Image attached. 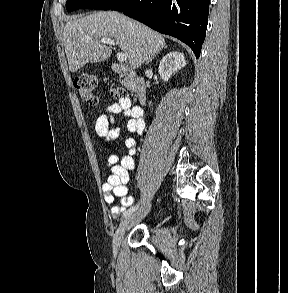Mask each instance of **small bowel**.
Masks as SVG:
<instances>
[{"mask_svg":"<svg viewBox=\"0 0 288 293\" xmlns=\"http://www.w3.org/2000/svg\"><path fill=\"white\" fill-rule=\"evenodd\" d=\"M123 114L128 118L126 128L131 133L142 135L145 130L143 110L139 106H132L128 98H121L108 106L95 122V133L101 141L105 150L112 148L113 142L120 136V128L114 126L115 115ZM127 153L123 156L111 154L107 159V164L111 170V175L103 183L102 190L106 203L111 207L114 217L122 214L127 207L132 205L133 197L128 195V182L130 171L135 167L134 155L136 153V141L129 137L125 139ZM116 198L120 203L116 204Z\"/></svg>","mask_w":288,"mask_h":293,"instance_id":"small-bowel-1","label":"small bowel"}]
</instances>
